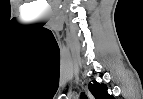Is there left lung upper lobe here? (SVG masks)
Wrapping results in <instances>:
<instances>
[{
	"instance_id": "obj_1",
	"label": "left lung upper lobe",
	"mask_w": 143,
	"mask_h": 99,
	"mask_svg": "<svg viewBox=\"0 0 143 99\" xmlns=\"http://www.w3.org/2000/svg\"><path fill=\"white\" fill-rule=\"evenodd\" d=\"M89 90L96 99H114L112 95L107 92V86L103 83H97L96 81L89 83ZM81 99H87L86 95L82 94Z\"/></svg>"
}]
</instances>
